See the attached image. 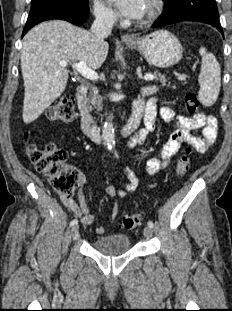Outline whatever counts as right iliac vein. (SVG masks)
Listing matches in <instances>:
<instances>
[{"mask_svg": "<svg viewBox=\"0 0 232 311\" xmlns=\"http://www.w3.org/2000/svg\"><path fill=\"white\" fill-rule=\"evenodd\" d=\"M72 237L77 239L79 237V227L76 225L72 228Z\"/></svg>", "mask_w": 232, "mask_h": 311, "instance_id": "obj_1", "label": "right iliac vein"}]
</instances>
